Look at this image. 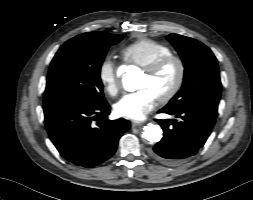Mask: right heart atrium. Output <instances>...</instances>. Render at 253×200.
I'll return each instance as SVG.
<instances>
[{"mask_svg":"<svg viewBox=\"0 0 253 200\" xmlns=\"http://www.w3.org/2000/svg\"><path fill=\"white\" fill-rule=\"evenodd\" d=\"M98 75L105 91L111 96L117 95L121 87L120 72L118 65L111 58H105L101 62Z\"/></svg>","mask_w":253,"mask_h":200,"instance_id":"d8ad5b80","label":"right heart atrium"}]
</instances>
